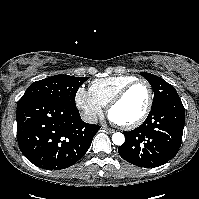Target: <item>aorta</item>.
<instances>
[{"label": "aorta", "instance_id": "aorta-1", "mask_svg": "<svg viewBox=\"0 0 199 199\" xmlns=\"http://www.w3.org/2000/svg\"><path fill=\"white\" fill-rule=\"evenodd\" d=\"M125 141V137L122 133L120 132H116L112 135V142L115 144V145H122Z\"/></svg>", "mask_w": 199, "mask_h": 199}]
</instances>
